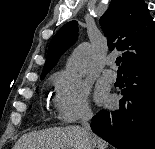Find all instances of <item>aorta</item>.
I'll return each instance as SVG.
<instances>
[{
	"mask_svg": "<svg viewBox=\"0 0 155 149\" xmlns=\"http://www.w3.org/2000/svg\"><path fill=\"white\" fill-rule=\"evenodd\" d=\"M92 51L89 44L79 45L66 63V73L72 79L83 78L88 70Z\"/></svg>",
	"mask_w": 155,
	"mask_h": 149,
	"instance_id": "aorta-1",
	"label": "aorta"
}]
</instances>
